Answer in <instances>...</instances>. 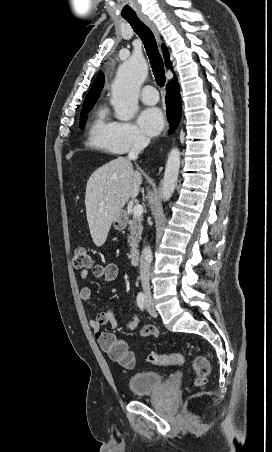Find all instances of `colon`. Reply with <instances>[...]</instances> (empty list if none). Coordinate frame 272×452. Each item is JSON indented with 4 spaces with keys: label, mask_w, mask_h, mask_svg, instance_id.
<instances>
[{
    "label": "colon",
    "mask_w": 272,
    "mask_h": 452,
    "mask_svg": "<svg viewBox=\"0 0 272 452\" xmlns=\"http://www.w3.org/2000/svg\"><path fill=\"white\" fill-rule=\"evenodd\" d=\"M92 259L84 245H77L74 249L73 266L75 269H82L91 266ZM109 357L113 362L123 366H131L133 363V355L128 351L125 342L119 341L111 349ZM147 361L158 366L182 365L184 356L180 353L157 354L150 353L147 355ZM193 368L196 373L195 385H203L211 372V365L207 358L201 355L194 356L192 360Z\"/></svg>",
    "instance_id": "5ec220e1"
}]
</instances>
